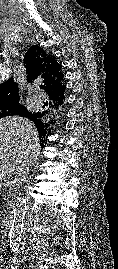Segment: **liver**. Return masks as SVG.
Here are the masks:
<instances>
[{
  "instance_id": "obj_1",
  "label": "liver",
  "mask_w": 118,
  "mask_h": 269,
  "mask_svg": "<svg viewBox=\"0 0 118 269\" xmlns=\"http://www.w3.org/2000/svg\"><path fill=\"white\" fill-rule=\"evenodd\" d=\"M39 151L38 131L32 121L18 116L0 119V172L4 171V177L17 174L20 162L29 156L34 159Z\"/></svg>"
}]
</instances>
